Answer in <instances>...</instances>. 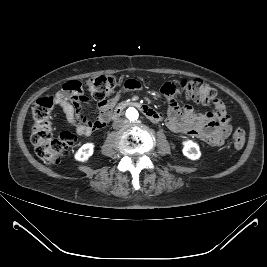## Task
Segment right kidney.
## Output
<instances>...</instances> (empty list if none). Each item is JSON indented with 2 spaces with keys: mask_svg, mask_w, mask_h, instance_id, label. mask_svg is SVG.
I'll return each mask as SVG.
<instances>
[{
  "mask_svg": "<svg viewBox=\"0 0 267 267\" xmlns=\"http://www.w3.org/2000/svg\"><path fill=\"white\" fill-rule=\"evenodd\" d=\"M94 150L93 143H86L79 148L75 154V159L78 161H87L90 156H92Z\"/></svg>",
  "mask_w": 267,
  "mask_h": 267,
  "instance_id": "1",
  "label": "right kidney"
}]
</instances>
